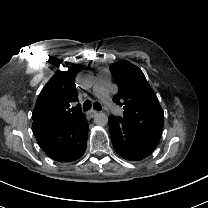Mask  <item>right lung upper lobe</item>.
Here are the masks:
<instances>
[{
	"instance_id": "cb5924a9",
	"label": "right lung upper lobe",
	"mask_w": 208,
	"mask_h": 208,
	"mask_svg": "<svg viewBox=\"0 0 208 208\" xmlns=\"http://www.w3.org/2000/svg\"><path fill=\"white\" fill-rule=\"evenodd\" d=\"M76 72V68L59 71L44 86L32 113L33 130L63 126L84 116L80 105H74L78 101Z\"/></svg>"
}]
</instances>
